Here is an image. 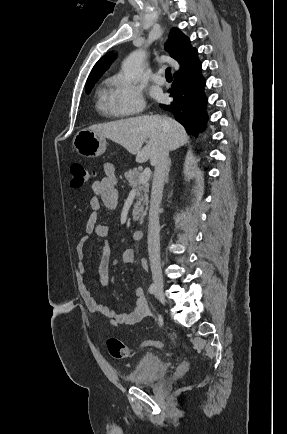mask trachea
Listing matches in <instances>:
<instances>
[{
    "label": "trachea",
    "mask_w": 287,
    "mask_h": 434,
    "mask_svg": "<svg viewBox=\"0 0 287 434\" xmlns=\"http://www.w3.org/2000/svg\"><path fill=\"white\" fill-rule=\"evenodd\" d=\"M165 76L166 78H172V74H171V68L168 67L165 71Z\"/></svg>",
    "instance_id": "trachea-1"
}]
</instances>
